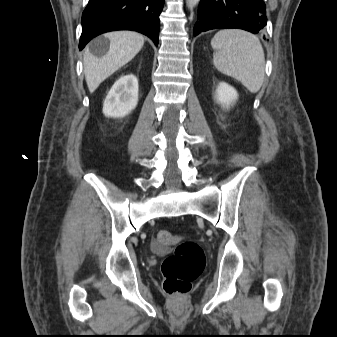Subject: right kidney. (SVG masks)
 Masks as SVG:
<instances>
[{"label":"right kidney","instance_id":"obj_1","mask_svg":"<svg viewBox=\"0 0 337 337\" xmlns=\"http://www.w3.org/2000/svg\"><path fill=\"white\" fill-rule=\"evenodd\" d=\"M138 103V79L133 74L121 76L111 87L103 104L106 117L121 118Z\"/></svg>","mask_w":337,"mask_h":337}]
</instances>
